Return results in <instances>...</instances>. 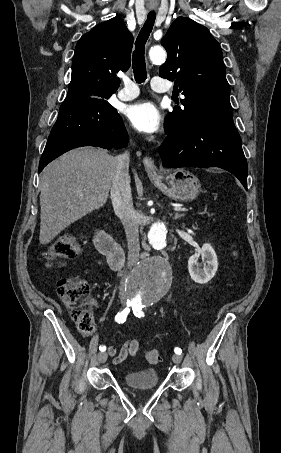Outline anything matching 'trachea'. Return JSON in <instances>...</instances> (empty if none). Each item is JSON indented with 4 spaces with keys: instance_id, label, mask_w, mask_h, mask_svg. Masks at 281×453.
Wrapping results in <instances>:
<instances>
[{
    "instance_id": "3493384b",
    "label": "trachea",
    "mask_w": 281,
    "mask_h": 453,
    "mask_svg": "<svg viewBox=\"0 0 281 453\" xmlns=\"http://www.w3.org/2000/svg\"><path fill=\"white\" fill-rule=\"evenodd\" d=\"M156 19L155 12H150L147 16V20L135 42V51L133 52L132 65L133 73L137 83H142L147 78L146 63H145V44L150 36L154 22Z\"/></svg>"
}]
</instances>
